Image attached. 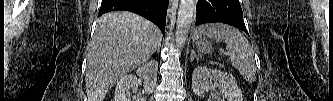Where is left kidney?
I'll use <instances>...</instances> for the list:
<instances>
[{
	"label": "left kidney",
	"instance_id": "5707ae66",
	"mask_svg": "<svg viewBox=\"0 0 333 101\" xmlns=\"http://www.w3.org/2000/svg\"><path fill=\"white\" fill-rule=\"evenodd\" d=\"M214 86H218L223 93V97L218 101H243L242 92L238 88L235 77L225 71L208 69L198 66L192 74V89L195 94L202 96L205 91L210 90L211 81Z\"/></svg>",
	"mask_w": 333,
	"mask_h": 101
}]
</instances>
